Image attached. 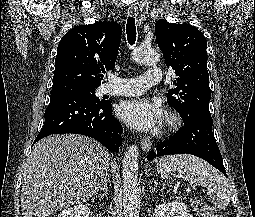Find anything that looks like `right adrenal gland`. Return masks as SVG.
I'll return each instance as SVG.
<instances>
[{"label":"right adrenal gland","mask_w":255,"mask_h":217,"mask_svg":"<svg viewBox=\"0 0 255 217\" xmlns=\"http://www.w3.org/2000/svg\"><path fill=\"white\" fill-rule=\"evenodd\" d=\"M108 179H109V176L108 175L105 176V178L103 179V182H102V187L99 188L102 191H104L105 198H107V195H108Z\"/></svg>","instance_id":"2a0ac1e0"}]
</instances>
